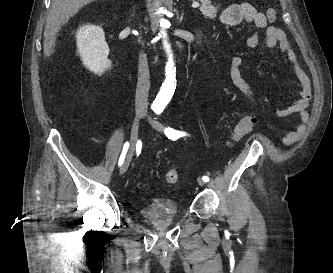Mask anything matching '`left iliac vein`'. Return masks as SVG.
<instances>
[{"label":"left iliac vein","mask_w":333,"mask_h":273,"mask_svg":"<svg viewBox=\"0 0 333 273\" xmlns=\"http://www.w3.org/2000/svg\"><path fill=\"white\" fill-rule=\"evenodd\" d=\"M148 121H149V124H150L154 129H156V130H158V131H161V132L164 131V127H163V125H162L160 122H158V121H156V120H154V119H151V118H149ZM197 182H198V184H199L200 186H204V185H205V181L202 180L201 178H198V179H197Z\"/></svg>","instance_id":"4c4485c4"}]
</instances>
